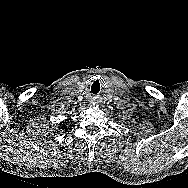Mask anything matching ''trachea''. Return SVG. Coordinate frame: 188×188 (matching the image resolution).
Segmentation results:
<instances>
[{"instance_id":"obj_1","label":"trachea","mask_w":188,"mask_h":188,"mask_svg":"<svg viewBox=\"0 0 188 188\" xmlns=\"http://www.w3.org/2000/svg\"><path fill=\"white\" fill-rule=\"evenodd\" d=\"M102 89H103L102 82L99 81V80H96V81L93 82L92 86L89 88V93L92 96H98V95L101 94Z\"/></svg>"}]
</instances>
